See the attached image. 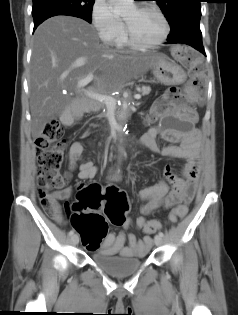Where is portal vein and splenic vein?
I'll use <instances>...</instances> for the list:
<instances>
[{
	"instance_id": "obj_1",
	"label": "portal vein and splenic vein",
	"mask_w": 238,
	"mask_h": 315,
	"mask_svg": "<svg viewBox=\"0 0 238 315\" xmlns=\"http://www.w3.org/2000/svg\"><path fill=\"white\" fill-rule=\"evenodd\" d=\"M93 74H89L87 77H85L84 79L78 81V88H83L84 86H86L89 82H91L93 80ZM85 95L91 99H96L99 101H104L106 105H113L116 103V100L113 97L107 96V95H102V94H98V93H94L92 91H85ZM135 99H140L141 95L140 94H136L134 95Z\"/></svg>"
}]
</instances>
